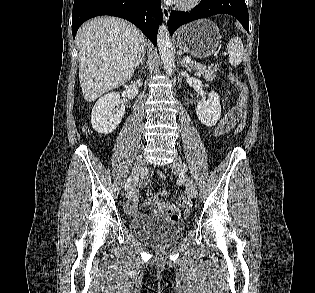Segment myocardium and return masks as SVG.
Here are the masks:
<instances>
[{
  "label": "myocardium",
  "mask_w": 315,
  "mask_h": 293,
  "mask_svg": "<svg viewBox=\"0 0 315 293\" xmlns=\"http://www.w3.org/2000/svg\"><path fill=\"white\" fill-rule=\"evenodd\" d=\"M202 0H178L177 6L182 10H191L197 7Z\"/></svg>",
  "instance_id": "1"
}]
</instances>
